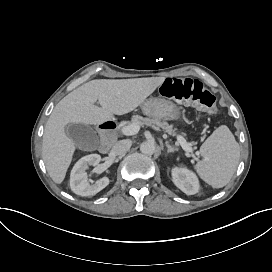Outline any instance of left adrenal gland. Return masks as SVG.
I'll use <instances>...</instances> for the list:
<instances>
[{"label":"left adrenal gland","instance_id":"a2214340","mask_svg":"<svg viewBox=\"0 0 272 272\" xmlns=\"http://www.w3.org/2000/svg\"><path fill=\"white\" fill-rule=\"evenodd\" d=\"M165 144H166V146L168 148V150H167L168 153L178 151V148H174V147L170 146L168 141H166Z\"/></svg>","mask_w":272,"mask_h":272}]
</instances>
